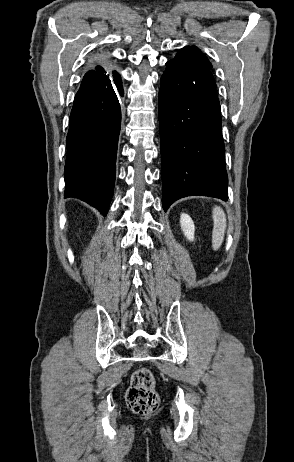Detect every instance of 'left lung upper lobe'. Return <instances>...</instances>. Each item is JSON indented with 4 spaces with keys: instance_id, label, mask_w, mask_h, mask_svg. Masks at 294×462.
I'll use <instances>...</instances> for the list:
<instances>
[{
    "instance_id": "left-lung-upper-lobe-1",
    "label": "left lung upper lobe",
    "mask_w": 294,
    "mask_h": 462,
    "mask_svg": "<svg viewBox=\"0 0 294 462\" xmlns=\"http://www.w3.org/2000/svg\"><path fill=\"white\" fill-rule=\"evenodd\" d=\"M175 59L195 64L206 69H211L212 67L207 57L203 55L196 47H185L181 49L175 56Z\"/></svg>"
}]
</instances>
